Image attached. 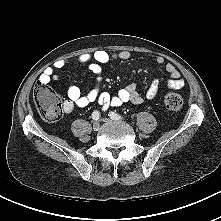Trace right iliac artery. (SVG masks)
<instances>
[{"mask_svg": "<svg viewBox=\"0 0 221 221\" xmlns=\"http://www.w3.org/2000/svg\"><path fill=\"white\" fill-rule=\"evenodd\" d=\"M92 118L94 119V120H99V118H100V113L98 112V111H94L93 113H92Z\"/></svg>", "mask_w": 221, "mask_h": 221, "instance_id": "82829eb1", "label": "right iliac artery"}]
</instances>
